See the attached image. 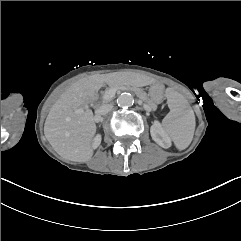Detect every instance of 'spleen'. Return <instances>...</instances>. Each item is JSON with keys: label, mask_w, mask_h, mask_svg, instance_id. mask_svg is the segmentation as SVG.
Returning a JSON list of instances; mask_svg holds the SVG:
<instances>
[{"label": "spleen", "mask_w": 241, "mask_h": 241, "mask_svg": "<svg viewBox=\"0 0 241 241\" xmlns=\"http://www.w3.org/2000/svg\"><path fill=\"white\" fill-rule=\"evenodd\" d=\"M166 92L170 112L163 119L162 125L177 149L184 150L193 139L195 115L187 101L173 88H168Z\"/></svg>", "instance_id": "obj_1"}]
</instances>
